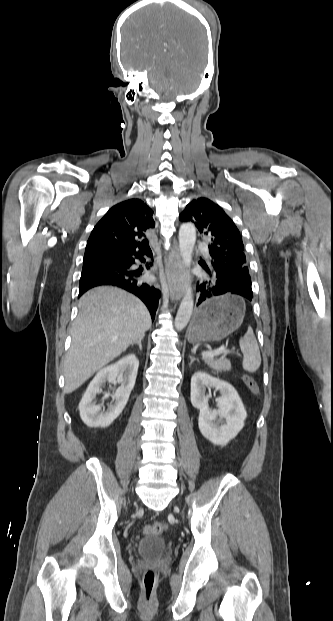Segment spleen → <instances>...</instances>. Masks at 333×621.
Returning a JSON list of instances; mask_svg holds the SVG:
<instances>
[{
    "mask_svg": "<svg viewBox=\"0 0 333 621\" xmlns=\"http://www.w3.org/2000/svg\"><path fill=\"white\" fill-rule=\"evenodd\" d=\"M240 349L243 353V369L253 373L261 365V354L251 327L239 341Z\"/></svg>",
    "mask_w": 333,
    "mask_h": 621,
    "instance_id": "3e777b00",
    "label": "spleen"
}]
</instances>
